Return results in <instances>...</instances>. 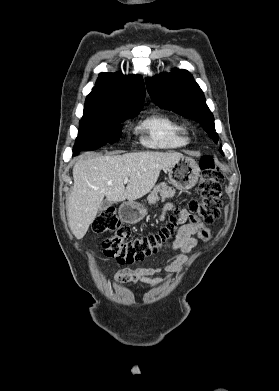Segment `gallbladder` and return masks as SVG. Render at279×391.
Returning <instances> with one entry per match:
<instances>
[{"label": "gallbladder", "mask_w": 279, "mask_h": 391, "mask_svg": "<svg viewBox=\"0 0 279 391\" xmlns=\"http://www.w3.org/2000/svg\"><path fill=\"white\" fill-rule=\"evenodd\" d=\"M111 204H112V202L111 201H109V200H103V202L101 203V205H100V208H99V210L100 211H104V210H106L109 206H111Z\"/></svg>", "instance_id": "bac80fb5"}]
</instances>
